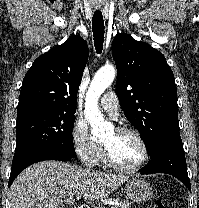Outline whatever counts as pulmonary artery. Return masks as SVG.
Masks as SVG:
<instances>
[{"mask_svg":"<svg viewBox=\"0 0 199 208\" xmlns=\"http://www.w3.org/2000/svg\"><path fill=\"white\" fill-rule=\"evenodd\" d=\"M99 105L112 117L118 116L119 103L114 91L106 92L100 99Z\"/></svg>","mask_w":199,"mask_h":208,"instance_id":"1","label":"pulmonary artery"}]
</instances>
